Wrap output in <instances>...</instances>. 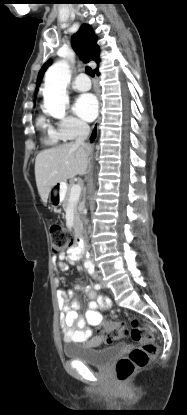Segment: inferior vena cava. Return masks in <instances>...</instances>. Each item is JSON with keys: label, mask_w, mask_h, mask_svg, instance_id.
Listing matches in <instances>:
<instances>
[{"label": "inferior vena cava", "mask_w": 187, "mask_h": 415, "mask_svg": "<svg viewBox=\"0 0 187 415\" xmlns=\"http://www.w3.org/2000/svg\"><path fill=\"white\" fill-rule=\"evenodd\" d=\"M89 133H90L89 125L83 122L79 123L78 128H77V138L75 140V144L81 145L87 148V145L85 144V140L89 136ZM84 243H85V246H87L88 236H87L86 231H84Z\"/></svg>", "instance_id": "inferior-vena-cava-1"}]
</instances>
